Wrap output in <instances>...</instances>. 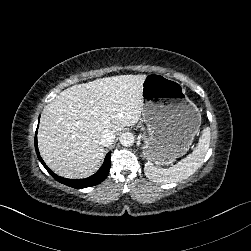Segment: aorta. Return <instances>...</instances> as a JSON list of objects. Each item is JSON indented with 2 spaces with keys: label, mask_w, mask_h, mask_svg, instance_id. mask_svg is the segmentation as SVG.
Returning <instances> with one entry per match:
<instances>
[{
  "label": "aorta",
  "mask_w": 251,
  "mask_h": 251,
  "mask_svg": "<svg viewBox=\"0 0 251 251\" xmlns=\"http://www.w3.org/2000/svg\"><path fill=\"white\" fill-rule=\"evenodd\" d=\"M134 135L128 132H124L120 135V143L124 147H130L134 144Z\"/></svg>",
  "instance_id": "762f6f07"
}]
</instances>
